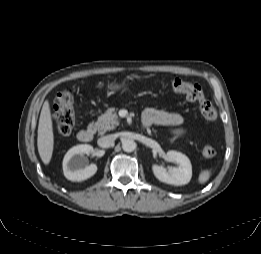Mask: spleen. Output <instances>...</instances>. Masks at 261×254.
Listing matches in <instances>:
<instances>
[{
    "label": "spleen",
    "instance_id": "1",
    "mask_svg": "<svg viewBox=\"0 0 261 254\" xmlns=\"http://www.w3.org/2000/svg\"><path fill=\"white\" fill-rule=\"evenodd\" d=\"M212 174V171L211 170H203L200 174H199V178H198V182L200 184H204L206 183L210 176Z\"/></svg>",
    "mask_w": 261,
    "mask_h": 254
}]
</instances>
